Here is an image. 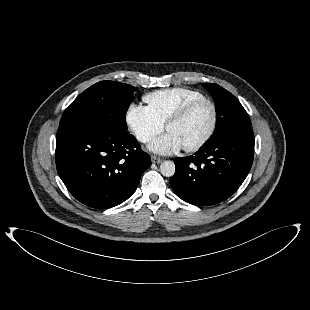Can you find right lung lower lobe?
Returning <instances> with one entry per match:
<instances>
[{
	"instance_id": "right-lung-lower-lobe-1",
	"label": "right lung lower lobe",
	"mask_w": 310,
	"mask_h": 310,
	"mask_svg": "<svg viewBox=\"0 0 310 310\" xmlns=\"http://www.w3.org/2000/svg\"><path fill=\"white\" fill-rule=\"evenodd\" d=\"M55 160L69 192L98 209L127 200L151 164L150 156L130 133L116 135L81 124L59 127Z\"/></svg>"
}]
</instances>
